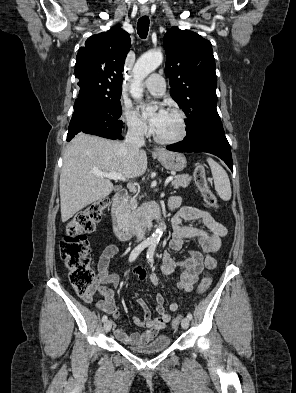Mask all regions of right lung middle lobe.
Returning a JSON list of instances; mask_svg holds the SVG:
<instances>
[{"label":"right lung middle lobe","mask_w":296,"mask_h":393,"mask_svg":"<svg viewBox=\"0 0 296 393\" xmlns=\"http://www.w3.org/2000/svg\"><path fill=\"white\" fill-rule=\"evenodd\" d=\"M78 85L80 86V96L107 109L114 117L120 118L122 114L121 89L113 88L100 80L92 78L80 80Z\"/></svg>","instance_id":"right-lung-middle-lobe-1"}]
</instances>
